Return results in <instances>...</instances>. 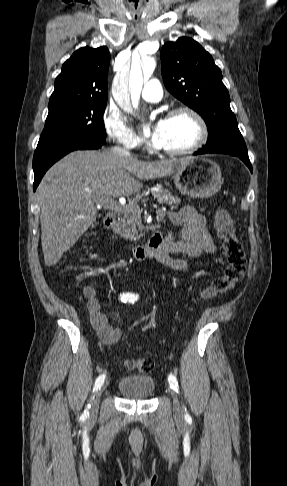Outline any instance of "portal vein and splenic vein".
<instances>
[{
  "instance_id": "obj_1",
  "label": "portal vein and splenic vein",
  "mask_w": 287,
  "mask_h": 486,
  "mask_svg": "<svg viewBox=\"0 0 287 486\" xmlns=\"http://www.w3.org/2000/svg\"><path fill=\"white\" fill-rule=\"evenodd\" d=\"M96 202L97 204L102 205L108 209L119 210L121 209V207H123L122 204L124 203V199L116 201L112 199L110 195H105L102 196L100 199H97Z\"/></svg>"
}]
</instances>
